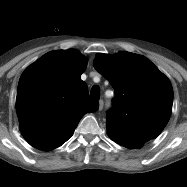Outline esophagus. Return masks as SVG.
Wrapping results in <instances>:
<instances>
[{
  "label": "esophagus",
  "instance_id": "esophagus-1",
  "mask_svg": "<svg viewBox=\"0 0 187 187\" xmlns=\"http://www.w3.org/2000/svg\"><path fill=\"white\" fill-rule=\"evenodd\" d=\"M104 102L103 100H99V110L103 109Z\"/></svg>",
  "mask_w": 187,
  "mask_h": 187
}]
</instances>
